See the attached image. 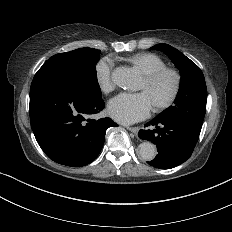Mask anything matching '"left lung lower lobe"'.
I'll return each mask as SVG.
<instances>
[{
	"label": "left lung lower lobe",
	"instance_id": "left-lung-lower-lobe-1",
	"mask_svg": "<svg viewBox=\"0 0 232 232\" xmlns=\"http://www.w3.org/2000/svg\"><path fill=\"white\" fill-rule=\"evenodd\" d=\"M155 129L139 131V138L153 142L158 154L148 162L149 165L160 168H174L190 158L196 146L200 132H196L183 122L171 119L154 118L147 126Z\"/></svg>",
	"mask_w": 232,
	"mask_h": 232
}]
</instances>
